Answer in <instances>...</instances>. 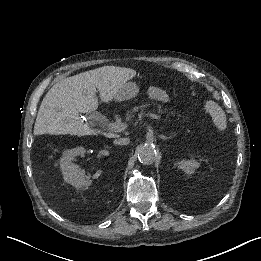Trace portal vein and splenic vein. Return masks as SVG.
Instances as JSON below:
<instances>
[{"instance_id":"1","label":"portal vein and splenic vein","mask_w":261,"mask_h":261,"mask_svg":"<svg viewBox=\"0 0 261 261\" xmlns=\"http://www.w3.org/2000/svg\"><path fill=\"white\" fill-rule=\"evenodd\" d=\"M150 118L152 120L159 121L160 123H167V118H164L163 116H160L159 114L152 113L150 115ZM108 125H109V128H111L112 130L118 131V132L124 131L127 127V125L122 122H113V123H109Z\"/></svg>"}]
</instances>
